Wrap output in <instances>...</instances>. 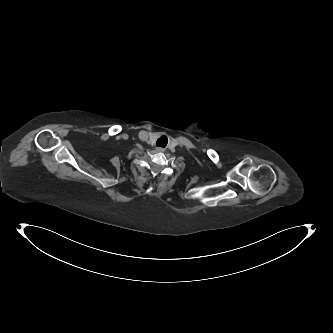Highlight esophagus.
<instances>
[{
    "label": "esophagus",
    "instance_id": "1",
    "mask_svg": "<svg viewBox=\"0 0 333 333\" xmlns=\"http://www.w3.org/2000/svg\"><path fill=\"white\" fill-rule=\"evenodd\" d=\"M156 150H157L158 152H162L164 149L161 148V147H158Z\"/></svg>",
    "mask_w": 333,
    "mask_h": 333
}]
</instances>
